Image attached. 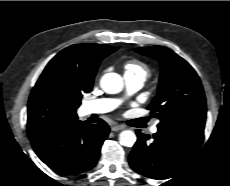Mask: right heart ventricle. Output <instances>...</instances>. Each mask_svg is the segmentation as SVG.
I'll return each mask as SVG.
<instances>
[{
	"mask_svg": "<svg viewBox=\"0 0 230 186\" xmlns=\"http://www.w3.org/2000/svg\"><path fill=\"white\" fill-rule=\"evenodd\" d=\"M124 68L125 74L140 75L145 79L150 73L149 67L138 59H131L127 61Z\"/></svg>",
	"mask_w": 230,
	"mask_h": 186,
	"instance_id": "obj_1",
	"label": "right heart ventricle"
}]
</instances>
